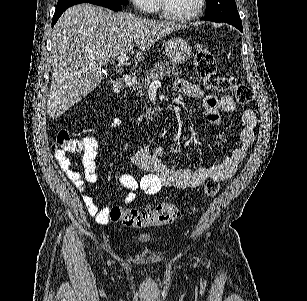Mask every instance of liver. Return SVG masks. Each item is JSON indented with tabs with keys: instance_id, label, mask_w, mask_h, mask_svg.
I'll list each match as a JSON object with an SVG mask.
<instances>
[{
	"instance_id": "liver-1",
	"label": "liver",
	"mask_w": 307,
	"mask_h": 301,
	"mask_svg": "<svg viewBox=\"0 0 307 301\" xmlns=\"http://www.w3.org/2000/svg\"><path fill=\"white\" fill-rule=\"evenodd\" d=\"M187 28L174 20H149L131 12L82 2L67 8L51 34L52 80L47 112L57 118L94 90L103 78L102 66L119 54L149 50L156 40ZM137 46L138 50H134Z\"/></svg>"
}]
</instances>
